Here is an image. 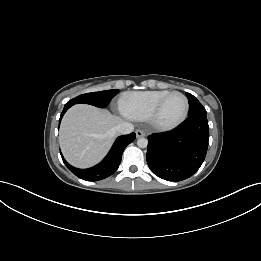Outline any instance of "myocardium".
Masks as SVG:
<instances>
[{"mask_svg": "<svg viewBox=\"0 0 261 261\" xmlns=\"http://www.w3.org/2000/svg\"><path fill=\"white\" fill-rule=\"evenodd\" d=\"M171 95H179L183 98L184 103H185V107L183 110L182 115L175 121L170 122V123H163L160 122L158 119V115H159V111L161 109L162 104L164 103V101L170 97ZM188 111H189V101L186 97L185 94H183L182 92L179 91H169L167 94H165L164 96H162L157 103L155 104V106L153 107L149 117H148V121L150 122V124L158 130H162V131H166V130H171L176 128L177 126H179L187 117L188 115Z\"/></svg>", "mask_w": 261, "mask_h": 261, "instance_id": "obj_1", "label": "myocardium"}]
</instances>
